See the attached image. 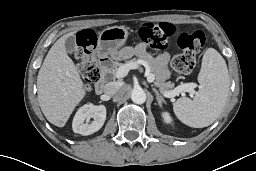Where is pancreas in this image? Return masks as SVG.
<instances>
[{
    "instance_id": "1",
    "label": "pancreas",
    "mask_w": 256,
    "mask_h": 171,
    "mask_svg": "<svg viewBox=\"0 0 256 171\" xmlns=\"http://www.w3.org/2000/svg\"><path fill=\"white\" fill-rule=\"evenodd\" d=\"M139 58L146 62L150 74H153L155 76V84L160 89V91H172V89L174 88V84L170 81L165 82V80L168 78V70L159 67L156 64L155 59L152 57V55L147 52L140 54ZM132 62H136V59L126 61L125 64H129ZM122 65L124 64L120 62H113L112 67L107 69L106 72L115 77L118 68Z\"/></svg>"
}]
</instances>
